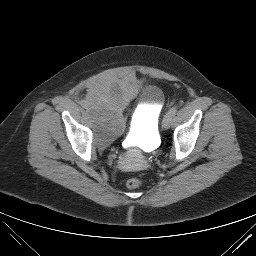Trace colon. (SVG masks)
Masks as SVG:
<instances>
[{"instance_id":"5ec220e1","label":"colon","mask_w":256,"mask_h":256,"mask_svg":"<svg viewBox=\"0 0 256 256\" xmlns=\"http://www.w3.org/2000/svg\"><path fill=\"white\" fill-rule=\"evenodd\" d=\"M143 184L142 180L138 178H131L127 181L126 185L129 189L139 188Z\"/></svg>"}]
</instances>
